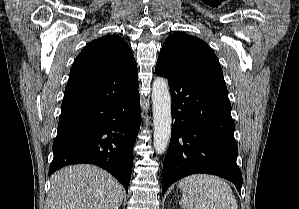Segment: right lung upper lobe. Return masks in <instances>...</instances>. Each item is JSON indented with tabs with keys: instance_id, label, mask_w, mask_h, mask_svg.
Instances as JSON below:
<instances>
[{
	"instance_id": "1",
	"label": "right lung upper lobe",
	"mask_w": 299,
	"mask_h": 209,
	"mask_svg": "<svg viewBox=\"0 0 299 209\" xmlns=\"http://www.w3.org/2000/svg\"><path fill=\"white\" fill-rule=\"evenodd\" d=\"M137 65L128 44L117 35L90 42L76 57L69 79L99 74H117L126 80L137 78Z\"/></svg>"
}]
</instances>
